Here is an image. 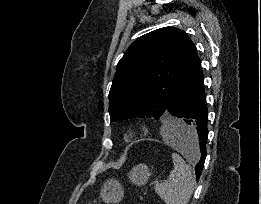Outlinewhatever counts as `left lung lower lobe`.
Here are the masks:
<instances>
[{
	"mask_svg": "<svg viewBox=\"0 0 261 204\" xmlns=\"http://www.w3.org/2000/svg\"><path fill=\"white\" fill-rule=\"evenodd\" d=\"M165 114L181 118L187 123L176 126L173 130L175 137L187 151L195 153L194 144L199 146V161L195 166L198 181L206 158L208 111L201 62L196 53L169 100Z\"/></svg>",
	"mask_w": 261,
	"mask_h": 204,
	"instance_id": "1",
	"label": "left lung lower lobe"
}]
</instances>
